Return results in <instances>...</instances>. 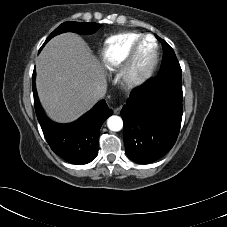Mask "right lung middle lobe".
Masks as SVG:
<instances>
[{
  "instance_id": "1",
  "label": "right lung middle lobe",
  "mask_w": 227,
  "mask_h": 227,
  "mask_svg": "<svg viewBox=\"0 0 227 227\" xmlns=\"http://www.w3.org/2000/svg\"><path fill=\"white\" fill-rule=\"evenodd\" d=\"M100 24L86 23V22H64L57 29H55L46 39L43 46L54 36L64 32H76L80 34H92L98 30ZM42 46V47H43Z\"/></svg>"
}]
</instances>
